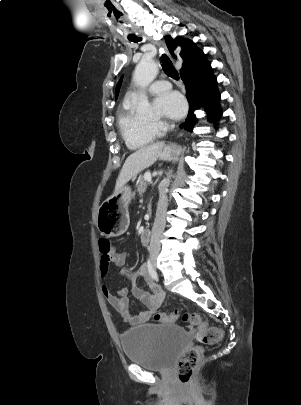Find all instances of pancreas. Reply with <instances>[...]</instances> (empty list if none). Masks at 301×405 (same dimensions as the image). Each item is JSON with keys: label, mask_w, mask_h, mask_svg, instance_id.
Here are the masks:
<instances>
[{"label": "pancreas", "mask_w": 301, "mask_h": 405, "mask_svg": "<svg viewBox=\"0 0 301 405\" xmlns=\"http://www.w3.org/2000/svg\"><path fill=\"white\" fill-rule=\"evenodd\" d=\"M146 189H147V181H146L145 177H142L139 179V185L137 188V192L139 195L142 196V194L146 191Z\"/></svg>", "instance_id": "pancreas-1"}]
</instances>
